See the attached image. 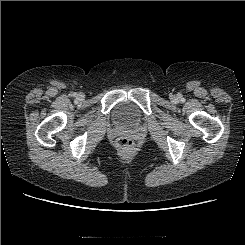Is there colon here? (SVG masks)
I'll list each match as a JSON object with an SVG mask.
<instances>
[{
	"label": "colon",
	"mask_w": 245,
	"mask_h": 245,
	"mask_svg": "<svg viewBox=\"0 0 245 245\" xmlns=\"http://www.w3.org/2000/svg\"><path fill=\"white\" fill-rule=\"evenodd\" d=\"M118 146L123 150H130L133 147V142L131 139L128 138H121L118 140Z\"/></svg>",
	"instance_id": "obj_1"
}]
</instances>
